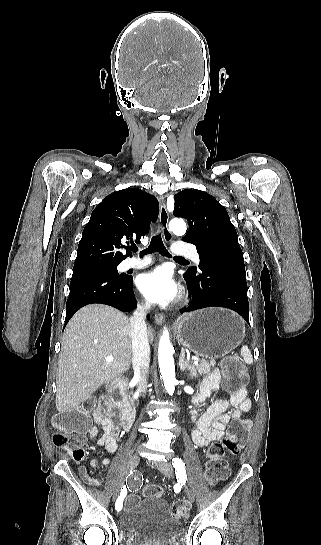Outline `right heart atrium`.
I'll list each match as a JSON object with an SVG mask.
<instances>
[{
    "instance_id": "right-heart-atrium-1",
    "label": "right heart atrium",
    "mask_w": 321,
    "mask_h": 545,
    "mask_svg": "<svg viewBox=\"0 0 321 545\" xmlns=\"http://www.w3.org/2000/svg\"><path fill=\"white\" fill-rule=\"evenodd\" d=\"M138 306H139V308H141L142 310H148V309H149V305H148L147 303H145V302H141V301H140V302L138 303Z\"/></svg>"
}]
</instances>
